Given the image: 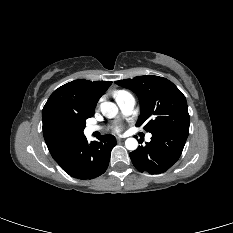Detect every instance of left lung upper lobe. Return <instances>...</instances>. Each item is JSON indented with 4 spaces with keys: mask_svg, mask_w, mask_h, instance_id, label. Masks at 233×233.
Listing matches in <instances>:
<instances>
[{
    "mask_svg": "<svg viewBox=\"0 0 233 233\" xmlns=\"http://www.w3.org/2000/svg\"><path fill=\"white\" fill-rule=\"evenodd\" d=\"M139 98L141 115L136 126L152 134L168 129L189 128V114L183 93L168 79L147 75L116 81Z\"/></svg>",
    "mask_w": 233,
    "mask_h": 233,
    "instance_id": "5c2ea615",
    "label": "left lung upper lobe"
}]
</instances>
